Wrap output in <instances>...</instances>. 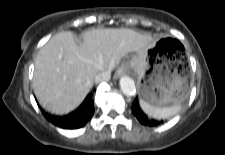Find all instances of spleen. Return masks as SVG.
<instances>
[{"label": "spleen", "instance_id": "3e777b00", "mask_svg": "<svg viewBox=\"0 0 225 155\" xmlns=\"http://www.w3.org/2000/svg\"><path fill=\"white\" fill-rule=\"evenodd\" d=\"M140 105L142 110L150 117L156 119H166L173 115H175L180 109L181 105L176 104L168 107H156L146 103L144 101H140Z\"/></svg>", "mask_w": 225, "mask_h": 155}]
</instances>
